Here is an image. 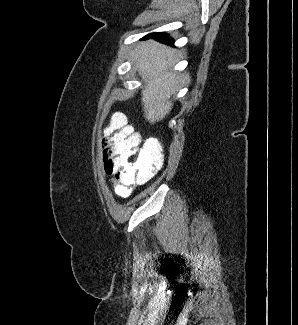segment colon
<instances>
[{"label": "colon", "mask_w": 298, "mask_h": 325, "mask_svg": "<svg viewBox=\"0 0 298 325\" xmlns=\"http://www.w3.org/2000/svg\"><path fill=\"white\" fill-rule=\"evenodd\" d=\"M103 133L104 169L121 185L144 184L160 170L161 154L154 152L151 145L140 147V135L122 114H112Z\"/></svg>", "instance_id": "1"}]
</instances>
